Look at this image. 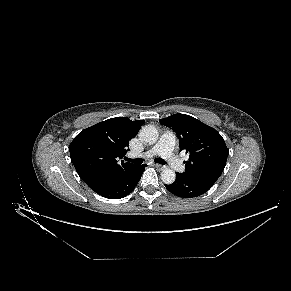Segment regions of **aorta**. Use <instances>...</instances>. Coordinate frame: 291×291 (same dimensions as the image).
Wrapping results in <instances>:
<instances>
[{
	"label": "aorta",
	"mask_w": 291,
	"mask_h": 291,
	"mask_svg": "<svg viewBox=\"0 0 291 291\" xmlns=\"http://www.w3.org/2000/svg\"><path fill=\"white\" fill-rule=\"evenodd\" d=\"M139 138L147 144H154L159 138V133L155 126L145 125L139 132ZM161 179L165 184H172L176 179V174L172 169L166 168L161 172Z\"/></svg>",
	"instance_id": "obj_1"
}]
</instances>
